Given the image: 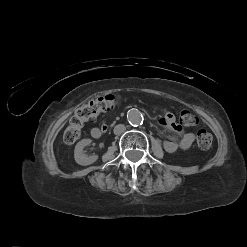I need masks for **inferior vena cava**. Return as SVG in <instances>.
<instances>
[{"mask_svg":"<svg viewBox=\"0 0 247 247\" xmlns=\"http://www.w3.org/2000/svg\"><path fill=\"white\" fill-rule=\"evenodd\" d=\"M113 131L115 135H121L122 133L126 131V127L123 124H118L114 127Z\"/></svg>","mask_w":247,"mask_h":247,"instance_id":"602c4592","label":"inferior vena cava"}]
</instances>
